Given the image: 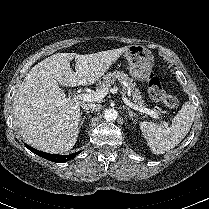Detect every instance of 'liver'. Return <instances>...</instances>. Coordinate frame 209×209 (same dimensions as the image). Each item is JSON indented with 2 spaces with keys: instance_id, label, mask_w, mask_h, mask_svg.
Masks as SVG:
<instances>
[{
  "instance_id": "liver-1",
  "label": "liver",
  "mask_w": 209,
  "mask_h": 209,
  "mask_svg": "<svg viewBox=\"0 0 209 209\" xmlns=\"http://www.w3.org/2000/svg\"><path fill=\"white\" fill-rule=\"evenodd\" d=\"M127 48L86 55L57 53L36 64L13 98L14 124L23 140L50 153H63L73 148L83 102L66 98L58 82L72 87L93 84ZM72 59H75V72L70 67Z\"/></svg>"
}]
</instances>
